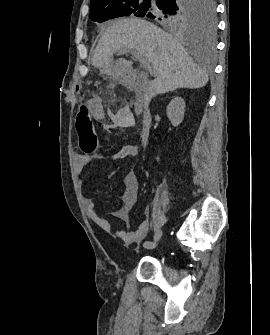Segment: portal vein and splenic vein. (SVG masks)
Masks as SVG:
<instances>
[{
	"instance_id": "portal-vein-and-splenic-vein-1",
	"label": "portal vein and splenic vein",
	"mask_w": 270,
	"mask_h": 335,
	"mask_svg": "<svg viewBox=\"0 0 270 335\" xmlns=\"http://www.w3.org/2000/svg\"><path fill=\"white\" fill-rule=\"evenodd\" d=\"M128 52H131V54H134V56L137 57V61L141 63V65L143 66V69L145 71H149L148 75L150 76V79H153V76L155 75V72L152 70L153 62L149 60L147 57H145V55L141 53L140 51L135 52V50H128L127 48H124L123 52L122 50H119V54H128Z\"/></svg>"
}]
</instances>
